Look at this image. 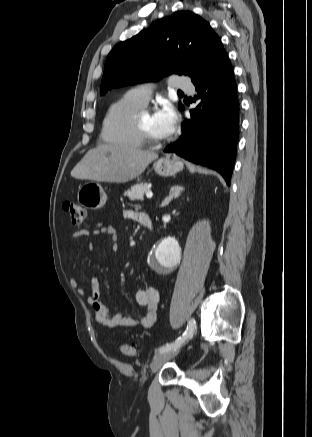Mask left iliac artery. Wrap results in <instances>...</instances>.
<instances>
[{
    "label": "left iliac artery",
    "instance_id": "1",
    "mask_svg": "<svg viewBox=\"0 0 312 437\" xmlns=\"http://www.w3.org/2000/svg\"><path fill=\"white\" fill-rule=\"evenodd\" d=\"M195 324H196V322L194 319L190 320L183 335L178 337L174 342L167 343L166 345L161 346L157 350L158 353L161 354V353H164V352L169 351L171 349L179 348L185 340L192 337L193 332H194V328H195Z\"/></svg>",
    "mask_w": 312,
    "mask_h": 437
}]
</instances>
